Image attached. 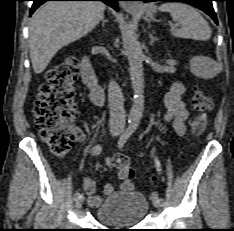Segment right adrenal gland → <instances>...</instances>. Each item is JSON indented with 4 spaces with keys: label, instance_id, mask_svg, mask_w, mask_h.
<instances>
[{
    "label": "right adrenal gland",
    "instance_id": "obj_1",
    "mask_svg": "<svg viewBox=\"0 0 234 231\" xmlns=\"http://www.w3.org/2000/svg\"><path fill=\"white\" fill-rule=\"evenodd\" d=\"M106 22H107V20L103 18V19H102V24H101V26L104 27V24H105Z\"/></svg>",
    "mask_w": 234,
    "mask_h": 231
}]
</instances>
